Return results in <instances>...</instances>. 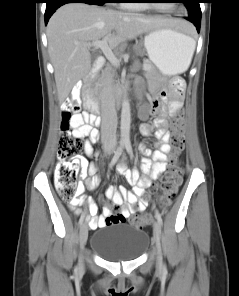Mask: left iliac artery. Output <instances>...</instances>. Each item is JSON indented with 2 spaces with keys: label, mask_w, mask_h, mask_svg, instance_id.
Returning a JSON list of instances; mask_svg holds the SVG:
<instances>
[{
  "label": "left iliac artery",
  "mask_w": 239,
  "mask_h": 296,
  "mask_svg": "<svg viewBox=\"0 0 239 296\" xmlns=\"http://www.w3.org/2000/svg\"><path fill=\"white\" fill-rule=\"evenodd\" d=\"M125 147H126V150H127L128 154H129L130 157L132 158V157H133V151H132L131 144H130V143H126V144H125ZM155 217H156V219L158 220V222L160 223V225H162V218H161L160 213H159L157 210H155ZM163 270H164V271H167L165 265L163 266Z\"/></svg>",
  "instance_id": "1"
}]
</instances>
